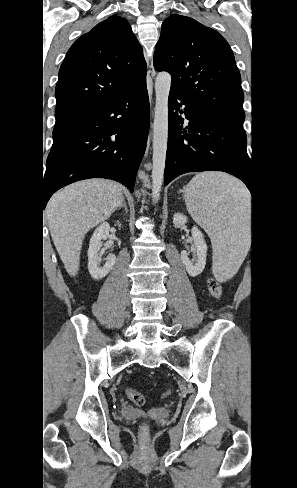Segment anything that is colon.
Returning <instances> with one entry per match:
<instances>
[{
  "label": "colon",
  "instance_id": "5ec220e1",
  "mask_svg": "<svg viewBox=\"0 0 297 488\" xmlns=\"http://www.w3.org/2000/svg\"><path fill=\"white\" fill-rule=\"evenodd\" d=\"M208 289L213 297L219 299L222 296V285L217 279L212 276L208 279ZM126 394L134 404L138 406L144 405L145 397L136 389L128 387L126 388ZM146 430L147 429L144 426L143 431Z\"/></svg>",
  "mask_w": 297,
  "mask_h": 488
}]
</instances>
